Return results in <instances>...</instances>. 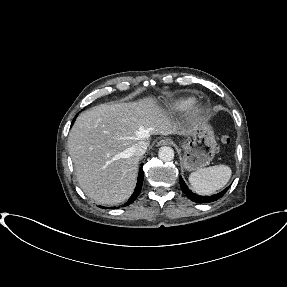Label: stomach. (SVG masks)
<instances>
[{"label": "stomach", "instance_id": "stomach-1", "mask_svg": "<svg viewBox=\"0 0 287 287\" xmlns=\"http://www.w3.org/2000/svg\"><path fill=\"white\" fill-rule=\"evenodd\" d=\"M216 146L212 127L205 122L198 124L181 145L184 168L188 171L204 168L214 158Z\"/></svg>", "mask_w": 287, "mask_h": 287}]
</instances>
